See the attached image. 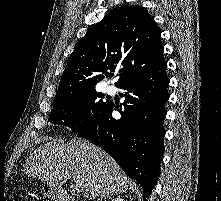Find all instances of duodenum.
<instances>
[{"mask_svg":"<svg viewBox=\"0 0 221 201\" xmlns=\"http://www.w3.org/2000/svg\"><path fill=\"white\" fill-rule=\"evenodd\" d=\"M61 201H75L74 199L70 198V197H60Z\"/></svg>","mask_w":221,"mask_h":201,"instance_id":"duodenum-1","label":"duodenum"}]
</instances>
